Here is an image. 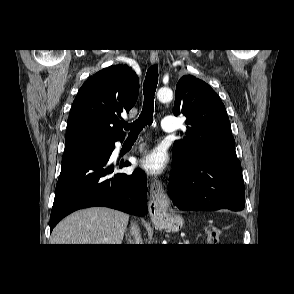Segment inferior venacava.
<instances>
[{"label":"inferior vena cava","instance_id":"1","mask_svg":"<svg viewBox=\"0 0 294 294\" xmlns=\"http://www.w3.org/2000/svg\"><path fill=\"white\" fill-rule=\"evenodd\" d=\"M131 232L135 238V244H142L141 235L139 233V229L137 228V225L135 224L131 225Z\"/></svg>","mask_w":294,"mask_h":294}]
</instances>
